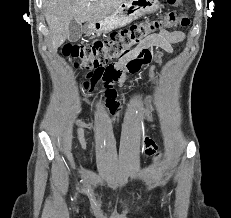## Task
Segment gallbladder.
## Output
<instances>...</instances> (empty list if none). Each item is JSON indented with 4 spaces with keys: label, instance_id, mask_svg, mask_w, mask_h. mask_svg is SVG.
<instances>
[{
    "label": "gallbladder",
    "instance_id": "1",
    "mask_svg": "<svg viewBox=\"0 0 231 218\" xmlns=\"http://www.w3.org/2000/svg\"><path fill=\"white\" fill-rule=\"evenodd\" d=\"M83 33V26L81 23L77 22L76 20H71L70 24H69V38L68 40L70 42H75L78 39H80V37L82 36Z\"/></svg>",
    "mask_w": 231,
    "mask_h": 218
}]
</instances>
